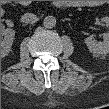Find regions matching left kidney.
<instances>
[{
    "mask_svg": "<svg viewBox=\"0 0 109 109\" xmlns=\"http://www.w3.org/2000/svg\"><path fill=\"white\" fill-rule=\"evenodd\" d=\"M101 21L109 23V18L103 17ZM85 44L90 52L94 54L106 55L109 52V34H104V40L102 42H97L91 37H87L85 39Z\"/></svg>",
    "mask_w": 109,
    "mask_h": 109,
    "instance_id": "5707ae66",
    "label": "left kidney"
}]
</instances>
